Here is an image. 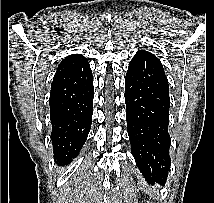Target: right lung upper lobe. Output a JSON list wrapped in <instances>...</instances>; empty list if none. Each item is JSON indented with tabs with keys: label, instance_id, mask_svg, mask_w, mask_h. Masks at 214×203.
I'll use <instances>...</instances> for the list:
<instances>
[{
	"label": "right lung upper lobe",
	"instance_id": "1",
	"mask_svg": "<svg viewBox=\"0 0 214 203\" xmlns=\"http://www.w3.org/2000/svg\"><path fill=\"white\" fill-rule=\"evenodd\" d=\"M87 62V59L83 55L72 54L60 62L54 77L71 72Z\"/></svg>",
	"mask_w": 214,
	"mask_h": 203
}]
</instances>
